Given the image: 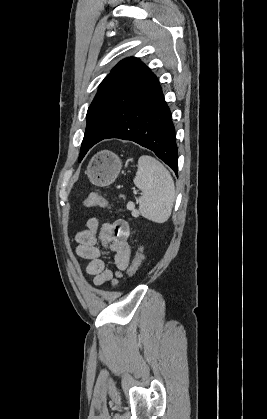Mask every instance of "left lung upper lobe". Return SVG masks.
Here are the masks:
<instances>
[{"label":"left lung upper lobe","instance_id":"left-lung-upper-lobe-1","mask_svg":"<svg viewBox=\"0 0 267 419\" xmlns=\"http://www.w3.org/2000/svg\"><path fill=\"white\" fill-rule=\"evenodd\" d=\"M155 77L148 67L134 57L120 61L112 69L99 85L98 92L88 108L80 157H84L89 150L90 139L94 136L97 138L102 132L106 134L112 129L109 121L111 115L128 108L137 94Z\"/></svg>","mask_w":267,"mask_h":419}]
</instances>
